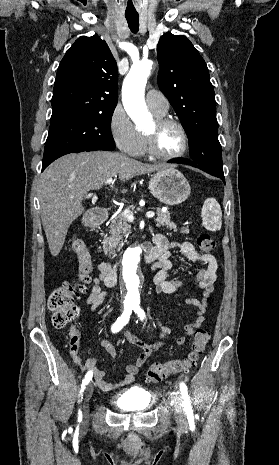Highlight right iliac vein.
Returning a JSON list of instances; mask_svg holds the SVG:
<instances>
[{
	"label": "right iliac vein",
	"mask_w": 279,
	"mask_h": 465,
	"mask_svg": "<svg viewBox=\"0 0 279 465\" xmlns=\"http://www.w3.org/2000/svg\"><path fill=\"white\" fill-rule=\"evenodd\" d=\"M92 392H93V387H92V384L90 383V384L87 385L85 393H84L83 402H84L85 405L89 402V400H90V398L92 396ZM87 421H88V416H87V414H85L84 422L87 423Z\"/></svg>",
	"instance_id": "obj_1"
}]
</instances>
